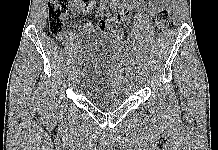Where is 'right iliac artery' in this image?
I'll list each match as a JSON object with an SVG mask.
<instances>
[{"instance_id":"1","label":"right iliac artery","mask_w":218,"mask_h":150,"mask_svg":"<svg viewBox=\"0 0 218 150\" xmlns=\"http://www.w3.org/2000/svg\"><path fill=\"white\" fill-rule=\"evenodd\" d=\"M80 58H81L80 56L76 57V59H78V63H79V61H80ZM76 63H77V62H76Z\"/></svg>"}]
</instances>
